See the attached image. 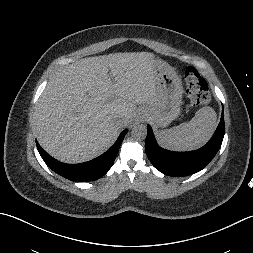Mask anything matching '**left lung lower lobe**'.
<instances>
[{
    "label": "left lung lower lobe",
    "mask_w": 253,
    "mask_h": 253,
    "mask_svg": "<svg viewBox=\"0 0 253 253\" xmlns=\"http://www.w3.org/2000/svg\"><path fill=\"white\" fill-rule=\"evenodd\" d=\"M224 111L220 123L209 142L191 152H171L158 146L151 127L147 126L146 154L160 172L174 177L188 176L205 168L221 147L224 137Z\"/></svg>",
    "instance_id": "0a47b994"
}]
</instances>
